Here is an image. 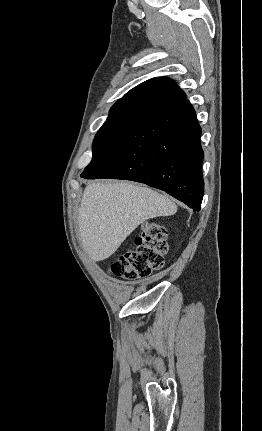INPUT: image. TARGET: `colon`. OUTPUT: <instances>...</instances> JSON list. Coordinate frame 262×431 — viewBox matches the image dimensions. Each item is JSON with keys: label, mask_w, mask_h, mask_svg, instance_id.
<instances>
[{"label": "colon", "mask_w": 262, "mask_h": 431, "mask_svg": "<svg viewBox=\"0 0 262 431\" xmlns=\"http://www.w3.org/2000/svg\"><path fill=\"white\" fill-rule=\"evenodd\" d=\"M167 250L165 228L157 222H148L142 226L134 245L115 259L110 271L127 281L146 278L163 267Z\"/></svg>", "instance_id": "obj_1"}]
</instances>
